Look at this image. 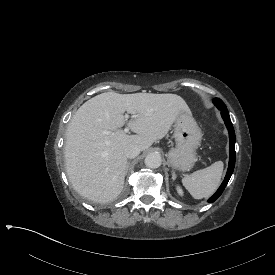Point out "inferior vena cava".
<instances>
[{
  "label": "inferior vena cava",
  "instance_id": "obj_1",
  "mask_svg": "<svg viewBox=\"0 0 275 275\" xmlns=\"http://www.w3.org/2000/svg\"><path fill=\"white\" fill-rule=\"evenodd\" d=\"M140 147L136 144H128L124 148V154L127 158H135L140 154Z\"/></svg>",
  "mask_w": 275,
  "mask_h": 275
}]
</instances>
